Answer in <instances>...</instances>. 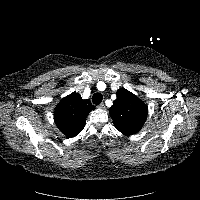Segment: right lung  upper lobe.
I'll return each mask as SVG.
<instances>
[{
    "label": "right lung upper lobe",
    "mask_w": 200,
    "mask_h": 200,
    "mask_svg": "<svg viewBox=\"0 0 200 200\" xmlns=\"http://www.w3.org/2000/svg\"><path fill=\"white\" fill-rule=\"evenodd\" d=\"M93 109L88 99L83 100L79 93L73 92L56 106L55 123L67 137H74L83 130L86 118Z\"/></svg>",
    "instance_id": "1"
}]
</instances>
